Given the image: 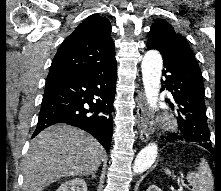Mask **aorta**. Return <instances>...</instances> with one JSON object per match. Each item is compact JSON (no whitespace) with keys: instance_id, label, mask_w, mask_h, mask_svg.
Here are the masks:
<instances>
[{"instance_id":"obj_1","label":"aorta","mask_w":221,"mask_h":191,"mask_svg":"<svg viewBox=\"0 0 221 191\" xmlns=\"http://www.w3.org/2000/svg\"><path fill=\"white\" fill-rule=\"evenodd\" d=\"M163 68L161 54L157 50H149L145 53L142 63V80L147 103L151 109H157L160 78ZM158 146L155 142L149 143L136 156L133 170L136 173L146 171L155 161Z\"/></svg>"}]
</instances>
